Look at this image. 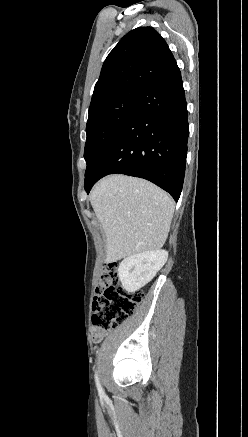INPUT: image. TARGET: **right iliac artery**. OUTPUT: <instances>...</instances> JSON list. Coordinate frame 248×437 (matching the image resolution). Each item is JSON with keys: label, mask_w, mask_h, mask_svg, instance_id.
<instances>
[{"label": "right iliac artery", "mask_w": 248, "mask_h": 437, "mask_svg": "<svg viewBox=\"0 0 248 437\" xmlns=\"http://www.w3.org/2000/svg\"><path fill=\"white\" fill-rule=\"evenodd\" d=\"M95 380H96V385H97V389H98L99 394L103 395L104 392H103V389H102V387L100 385L97 373L95 374Z\"/></svg>", "instance_id": "82829eb1"}]
</instances>
